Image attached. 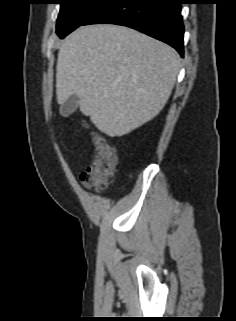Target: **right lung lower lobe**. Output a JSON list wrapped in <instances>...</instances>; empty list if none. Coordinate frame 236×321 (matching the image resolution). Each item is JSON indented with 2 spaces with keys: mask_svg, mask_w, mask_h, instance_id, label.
<instances>
[{
  "mask_svg": "<svg viewBox=\"0 0 236 321\" xmlns=\"http://www.w3.org/2000/svg\"><path fill=\"white\" fill-rule=\"evenodd\" d=\"M181 0H109L82 25L108 23L136 29L183 56Z\"/></svg>",
  "mask_w": 236,
  "mask_h": 321,
  "instance_id": "obj_1",
  "label": "right lung lower lobe"
}]
</instances>
